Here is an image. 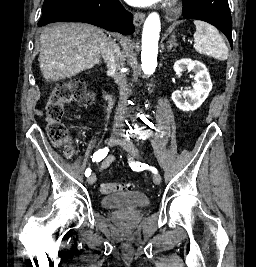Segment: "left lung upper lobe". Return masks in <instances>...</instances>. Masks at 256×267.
<instances>
[{
	"label": "left lung upper lobe",
	"instance_id": "obj_1",
	"mask_svg": "<svg viewBox=\"0 0 256 267\" xmlns=\"http://www.w3.org/2000/svg\"><path fill=\"white\" fill-rule=\"evenodd\" d=\"M184 17L206 21L228 38L232 46V19L228 0H184Z\"/></svg>",
	"mask_w": 256,
	"mask_h": 267
}]
</instances>
